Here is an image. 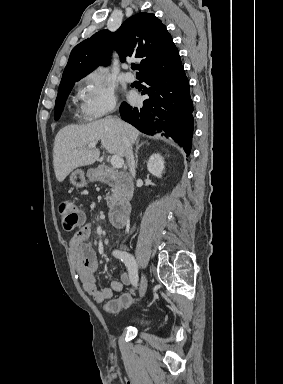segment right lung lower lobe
Here are the masks:
<instances>
[{"mask_svg":"<svg viewBox=\"0 0 283 384\" xmlns=\"http://www.w3.org/2000/svg\"><path fill=\"white\" fill-rule=\"evenodd\" d=\"M141 81L147 84L143 94H148L149 98L139 109L122 103L121 118L146 134L171 137L190 154L193 103L184 67L179 64L166 72L147 76Z\"/></svg>","mask_w":283,"mask_h":384,"instance_id":"obj_1","label":"right lung lower lobe"}]
</instances>
